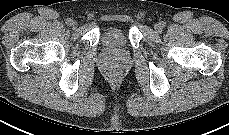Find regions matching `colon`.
Listing matches in <instances>:
<instances>
[{
    "label": "colon",
    "mask_w": 229,
    "mask_h": 135,
    "mask_svg": "<svg viewBox=\"0 0 229 135\" xmlns=\"http://www.w3.org/2000/svg\"><path fill=\"white\" fill-rule=\"evenodd\" d=\"M113 78H116L117 76L116 75H112Z\"/></svg>",
    "instance_id": "1"
}]
</instances>
